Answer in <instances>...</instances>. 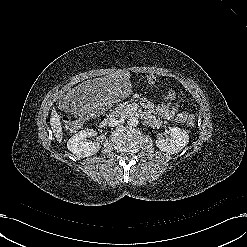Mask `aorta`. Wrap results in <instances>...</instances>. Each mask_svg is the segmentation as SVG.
<instances>
[{
    "instance_id": "1",
    "label": "aorta",
    "mask_w": 247,
    "mask_h": 247,
    "mask_svg": "<svg viewBox=\"0 0 247 247\" xmlns=\"http://www.w3.org/2000/svg\"><path fill=\"white\" fill-rule=\"evenodd\" d=\"M139 121L138 118L131 116L127 120V124L131 127H136L138 125Z\"/></svg>"
}]
</instances>
